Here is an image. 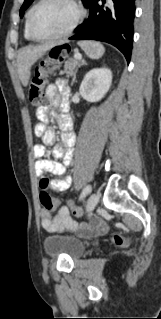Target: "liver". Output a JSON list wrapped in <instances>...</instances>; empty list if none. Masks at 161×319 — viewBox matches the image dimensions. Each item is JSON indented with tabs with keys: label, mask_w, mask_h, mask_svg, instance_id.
<instances>
[{
	"label": "liver",
	"mask_w": 161,
	"mask_h": 319,
	"mask_svg": "<svg viewBox=\"0 0 161 319\" xmlns=\"http://www.w3.org/2000/svg\"><path fill=\"white\" fill-rule=\"evenodd\" d=\"M52 47V43H45L42 45L21 48L18 51L17 68L23 86L28 85L32 65Z\"/></svg>",
	"instance_id": "6515ba94"
}]
</instances>
